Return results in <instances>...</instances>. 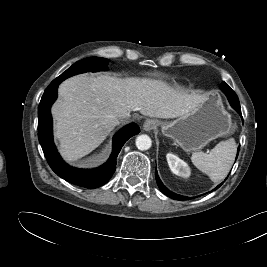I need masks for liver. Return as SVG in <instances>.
<instances>
[{"label":"liver","mask_w":267,"mask_h":267,"mask_svg":"<svg viewBox=\"0 0 267 267\" xmlns=\"http://www.w3.org/2000/svg\"><path fill=\"white\" fill-rule=\"evenodd\" d=\"M52 107L60 153L74 161L92 152L119 124L122 114L139 111L155 118L182 116L204 96L180 91L164 81L81 74L62 82Z\"/></svg>","instance_id":"liver-1"}]
</instances>
